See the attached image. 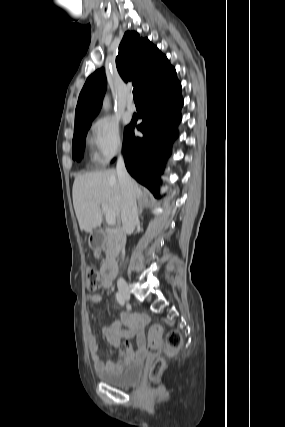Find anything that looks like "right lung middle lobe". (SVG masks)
I'll use <instances>...</instances> for the list:
<instances>
[{
  "label": "right lung middle lobe",
  "mask_w": 285,
  "mask_h": 427,
  "mask_svg": "<svg viewBox=\"0 0 285 427\" xmlns=\"http://www.w3.org/2000/svg\"><path fill=\"white\" fill-rule=\"evenodd\" d=\"M90 125H91V122L79 128H76L74 131V137L72 141V150H73V159H76L77 161H79L83 156L85 138H86L87 131L90 128ZM127 127L125 128V131L127 130Z\"/></svg>",
  "instance_id": "right-lung-middle-lobe-1"
}]
</instances>
